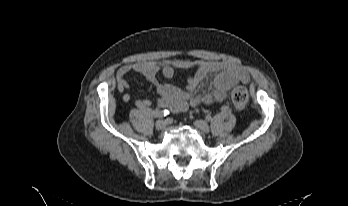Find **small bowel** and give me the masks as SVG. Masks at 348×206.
I'll return each mask as SVG.
<instances>
[{
    "label": "small bowel",
    "mask_w": 348,
    "mask_h": 206,
    "mask_svg": "<svg viewBox=\"0 0 348 206\" xmlns=\"http://www.w3.org/2000/svg\"><path fill=\"white\" fill-rule=\"evenodd\" d=\"M176 68L194 71L184 89L159 82L157 79L158 74H162L165 78L173 77ZM133 73L142 75L157 87L159 108L170 109L173 112H183L189 107L222 102L235 83L250 82L249 73L242 66L231 62L183 59L138 61L124 64L117 71V88L120 92H124L122 96L124 102H129L131 99L130 94L126 92L129 89L127 77ZM209 75H214L210 85L205 91L198 93L201 83ZM150 105L151 101L148 99L134 102V106L143 111H147Z\"/></svg>",
    "instance_id": "c3829d8e"
}]
</instances>
